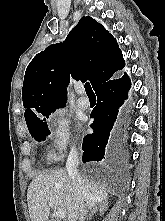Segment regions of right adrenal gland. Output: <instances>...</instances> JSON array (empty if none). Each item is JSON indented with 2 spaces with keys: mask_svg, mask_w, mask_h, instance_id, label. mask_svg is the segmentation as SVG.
Here are the masks:
<instances>
[{
  "mask_svg": "<svg viewBox=\"0 0 165 221\" xmlns=\"http://www.w3.org/2000/svg\"><path fill=\"white\" fill-rule=\"evenodd\" d=\"M108 204L109 203L107 202V200H105V201H102V202L98 203L97 205H95L93 207V210L91 211V213L88 216V220H90L92 218V216L94 214H96L98 211H100L101 215H104L105 211L108 208Z\"/></svg>",
  "mask_w": 165,
  "mask_h": 221,
  "instance_id": "right-adrenal-gland-1",
  "label": "right adrenal gland"
}]
</instances>
